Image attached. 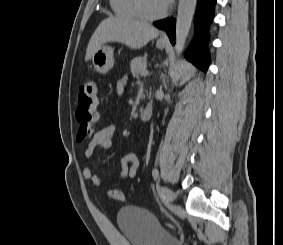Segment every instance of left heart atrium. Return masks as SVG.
Returning <instances> with one entry per match:
<instances>
[{
  "instance_id": "left-heart-atrium-1",
  "label": "left heart atrium",
  "mask_w": 283,
  "mask_h": 245,
  "mask_svg": "<svg viewBox=\"0 0 283 245\" xmlns=\"http://www.w3.org/2000/svg\"><path fill=\"white\" fill-rule=\"evenodd\" d=\"M166 4L170 3L172 0H164Z\"/></svg>"
}]
</instances>
